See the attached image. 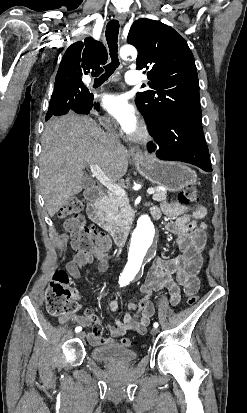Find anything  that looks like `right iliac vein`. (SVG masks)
Wrapping results in <instances>:
<instances>
[{"label": "right iliac vein", "mask_w": 247, "mask_h": 413, "mask_svg": "<svg viewBox=\"0 0 247 413\" xmlns=\"http://www.w3.org/2000/svg\"><path fill=\"white\" fill-rule=\"evenodd\" d=\"M77 337L83 339V338L85 337V333H84V332H81V333H79V334L77 335Z\"/></svg>", "instance_id": "right-iliac-vein-1"}]
</instances>
